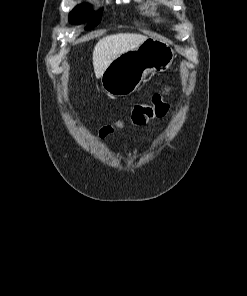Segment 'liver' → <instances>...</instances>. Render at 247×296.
Wrapping results in <instances>:
<instances>
[{
    "mask_svg": "<svg viewBox=\"0 0 247 296\" xmlns=\"http://www.w3.org/2000/svg\"><path fill=\"white\" fill-rule=\"evenodd\" d=\"M147 37L140 34L119 33L103 37L93 50L95 76L101 78L110 63L121 54L137 48Z\"/></svg>",
    "mask_w": 247,
    "mask_h": 296,
    "instance_id": "6515ba94",
    "label": "liver"
}]
</instances>
